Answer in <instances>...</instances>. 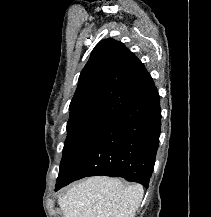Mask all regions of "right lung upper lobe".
<instances>
[{
	"label": "right lung upper lobe",
	"mask_w": 211,
	"mask_h": 217,
	"mask_svg": "<svg viewBox=\"0 0 211 217\" xmlns=\"http://www.w3.org/2000/svg\"><path fill=\"white\" fill-rule=\"evenodd\" d=\"M155 87L141 61L111 38L100 41L83 68L70 103V118L118 115Z\"/></svg>",
	"instance_id": "1"
}]
</instances>
